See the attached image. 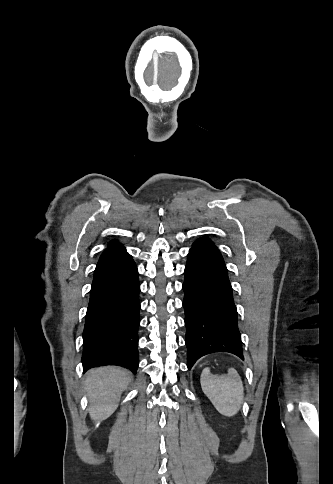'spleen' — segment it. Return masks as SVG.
<instances>
[{
	"mask_svg": "<svg viewBox=\"0 0 333 484\" xmlns=\"http://www.w3.org/2000/svg\"><path fill=\"white\" fill-rule=\"evenodd\" d=\"M200 382L204 394L220 414L232 417L238 413L244 397V387L236 370L230 369L227 375L217 376L205 369Z\"/></svg>",
	"mask_w": 333,
	"mask_h": 484,
	"instance_id": "1",
	"label": "spleen"
}]
</instances>
